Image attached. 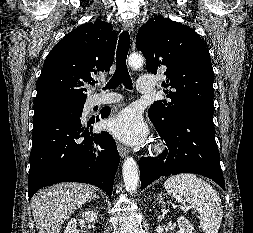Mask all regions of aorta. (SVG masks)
Here are the masks:
<instances>
[{
	"instance_id": "762f6f07",
	"label": "aorta",
	"mask_w": 253,
	"mask_h": 233,
	"mask_svg": "<svg viewBox=\"0 0 253 233\" xmlns=\"http://www.w3.org/2000/svg\"><path fill=\"white\" fill-rule=\"evenodd\" d=\"M128 63L132 68H139L143 65L144 59L141 55L132 54L128 59ZM122 173L126 189L131 193L135 192L139 184V172L133 157H127L124 160Z\"/></svg>"
}]
</instances>
